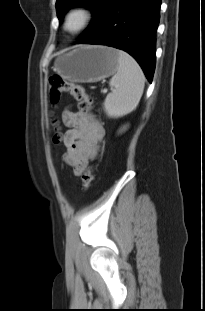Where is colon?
Wrapping results in <instances>:
<instances>
[{"label": "colon", "mask_w": 205, "mask_h": 311, "mask_svg": "<svg viewBox=\"0 0 205 311\" xmlns=\"http://www.w3.org/2000/svg\"><path fill=\"white\" fill-rule=\"evenodd\" d=\"M68 93L72 95L78 102L79 107L84 112H90L93 108V100L89 97L83 87L71 81L65 80L60 76H53L50 79V100L53 104H57L62 94ZM62 140L61 133L54 135V142L59 143ZM94 178L93 166H88L82 174V186L86 190L91 186Z\"/></svg>", "instance_id": "5ec220e1"}]
</instances>
